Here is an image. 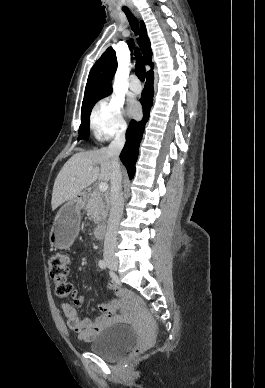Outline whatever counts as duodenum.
I'll list each match as a JSON object with an SVG mask.
<instances>
[{"label":"duodenum","instance_id":"410a0bca","mask_svg":"<svg viewBox=\"0 0 265 388\" xmlns=\"http://www.w3.org/2000/svg\"><path fill=\"white\" fill-rule=\"evenodd\" d=\"M78 199L80 201H83L85 199V195L84 194H80L78 196ZM106 228H107V224L105 222L103 223H100L99 225H97L96 229H95V235L97 238H102L106 232Z\"/></svg>","mask_w":265,"mask_h":388}]
</instances>
